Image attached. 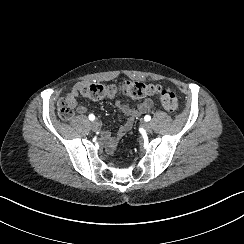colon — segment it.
Returning <instances> with one entry per match:
<instances>
[{"mask_svg":"<svg viewBox=\"0 0 244 244\" xmlns=\"http://www.w3.org/2000/svg\"><path fill=\"white\" fill-rule=\"evenodd\" d=\"M121 92L131 99L140 100L147 96H157L164 107L170 113L178 111V99L173 91L167 87L154 84H145L136 80H124L117 85L90 82L81 88V94L90 100H100ZM57 112L60 118L68 120L75 113L74 97L63 98L59 101Z\"/></svg>","mask_w":244,"mask_h":244,"instance_id":"colon-1","label":"colon"}]
</instances>
